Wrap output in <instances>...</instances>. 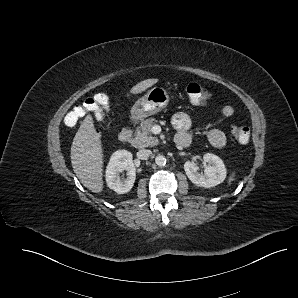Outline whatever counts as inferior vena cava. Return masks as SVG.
Here are the masks:
<instances>
[{"label": "inferior vena cava", "instance_id": "602c4592", "mask_svg": "<svg viewBox=\"0 0 298 298\" xmlns=\"http://www.w3.org/2000/svg\"><path fill=\"white\" fill-rule=\"evenodd\" d=\"M152 151L149 149H141L137 152V157L139 159H147L151 156Z\"/></svg>", "mask_w": 298, "mask_h": 298}]
</instances>
